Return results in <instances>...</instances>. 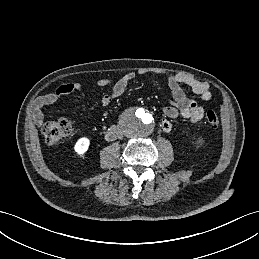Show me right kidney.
Listing matches in <instances>:
<instances>
[{"mask_svg": "<svg viewBox=\"0 0 259 259\" xmlns=\"http://www.w3.org/2000/svg\"><path fill=\"white\" fill-rule=\"evenodd\" d=\"M89 144V139L86 137H82L76 142L74 150L78 154H84L88 150Z\"/></svg>", "mask_w": 259, "mask_h": 259, "instance_id": "1", "label": "right kidney"}]
</instances>
